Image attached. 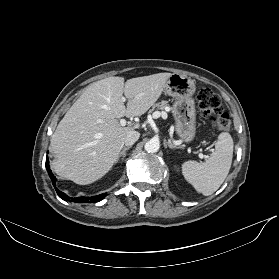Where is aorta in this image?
I'll list each match as a JSON object with an SVG mask.
<instances>
[{"label": "aorta", "instance_id": "aorta-1", "mask_svg": "<svg viewBox=\"0 0 279 279\" xmlns=\"http://www.w3.org/2000/svg\"><path fill=\"white\" fill-rule=\"evenodd\" d=\"M144 148L148 153H156L160 148V143L157 139H150L145 143Z\"/></svg>", "mask_w": 279, "mask_h": 279}]
</instances>
